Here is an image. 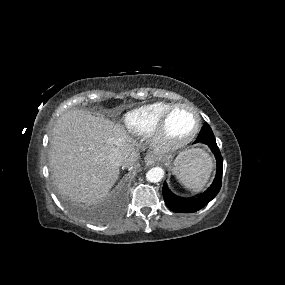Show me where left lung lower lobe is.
Returning a JSON list of instances; mask_svg holds the SVG:
<instances>
[{"mask_svg": "<svg viewBox=\"0 0 285 285\" xmlns=\"http://www.w3.org/2000/svg\"><path fill=\"white\" fill-rule=\"evenodd\" d=\"M207 144L215 154L217 160L216 177L212 185L199 197L195 199H182L174 194L168 188L166 181L163 184V197L166 205L174 212L189 213L196 212L207 205L219 192L222 182L223 161L216 144L214 134L209 125H204L195 141V143Z\"/></svg>", "mask_w": 285, "mask_h": 285, "instance_id": "0a47b994", "label": "left lung lower lobe"}]
</instances>
